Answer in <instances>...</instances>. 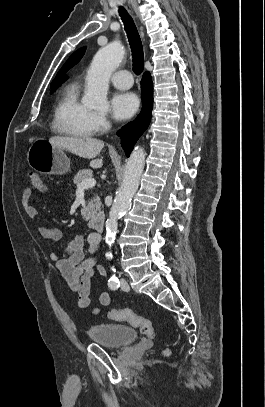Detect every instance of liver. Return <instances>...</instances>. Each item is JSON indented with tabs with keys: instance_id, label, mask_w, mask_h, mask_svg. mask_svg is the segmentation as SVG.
<instances>
[{
	"instance_id": "liver-1",
	"label": "liver",
	"mask_w": 265,
	"mask_h": 407,
	"mask_svg": "<svg viewBox=\"0 0 265 407\" xmlns=\"http://www.w3.org/2000/svg\"><path fill=\"white\" fill-rule=\"evenodd\" d=\"M49 143L79 157L92 159L90 166L93 168H100L103 165L102 159H95L104 147V142L101 140L90 137L54 136L49 139Z\"/></svg>"
}]
</instances>
